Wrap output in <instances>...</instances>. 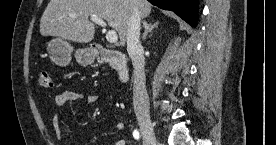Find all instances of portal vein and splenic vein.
Wrapping results in <instances>:
<instances>
[{
    "instance_id": "obj_1",
    "label": "portal vein and splenic vein",
    "mask_w": 276,
    "mask_h": 145,
    "mask_svg": "<svg viewBox=\"0 0 276 145\" xmlns=\"http://www.w3.org/2000/svg\"><path fill=\"white\" fill-rule=\"evenodd\" d=\"M90 20L96 24H98L101 27H106V23L103 21V19L92 15L90 16ZM106 39L109 43H117L118 41V35L115 30H108L106 33Z\"/></svg>"
}]
</instances>
